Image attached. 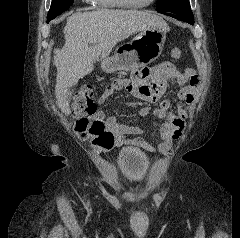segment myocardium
Instances as JSON below:
<instances>
[{"label": "myocardium", "mask_w": 240, "mask_h": 238, "mask_svg": "<svg viewBox=\"0 0 240 238\" xmlns=\"http://www.w3.org/2000/svg\"><path fill=\"white\" fill-rule=\"evenodd\" d=\"M118 1L122 6L132 8V7H146V6H149L155 0H149L147 2H134V1H129V0H118Z\"/></svg>", "instance_id": "obj_1"}]
</instances>
